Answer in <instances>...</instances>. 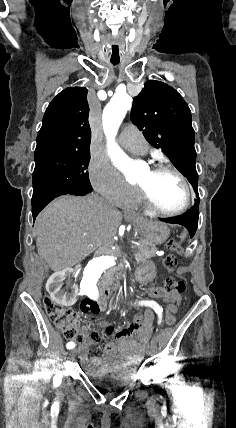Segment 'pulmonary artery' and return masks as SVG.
<instances>
[{
	"label": "pulmonary artery",
	"mask_w": 236,
	"mask_h": 428,
	"mask_svg": "<svg viewBox=\"0 0 236 428\" xmlns=\"http://www.w3.org/2000/svg\"><path fill=\"white\" fill-rule=\"evenodd\" d=\"M123 147L131 152H138V153H145L147 149V146L145 145H138L132 142L124 143Z\"/></svg>",
	"instance_id": "1"
}]
</instances>
